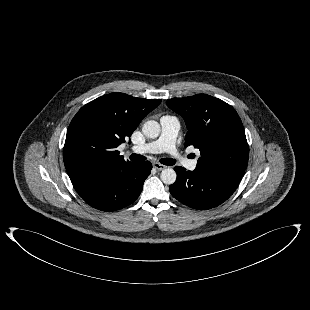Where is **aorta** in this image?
Here are the masks:
<instances>
[{
    "label": "aorta",
    "mask_w": 310,
    "mask_h": 310,
    "mask_svg": "<svg viewBox=\"0 0 310 310\" xmlns=\"http://www.w3.org/2000/svg\"><path fill=\"white\" fill-rule=\"evenodd\" d=\"M142 132L148 138H157L160 134V125L154 120L147 121L142 127ZM176 177V172L172 168H165L160 174L162 182L166 185L173 184L176 181Z\"/></svg>",
    "instance_id": "aorta-1"
}]
</instances>
